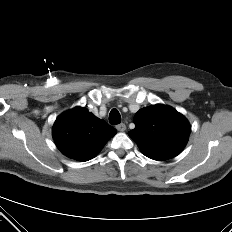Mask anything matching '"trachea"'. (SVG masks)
Returning <instances> with one entry per match:
<instances>
[{"label": "trachea", "instance_id": "1", "mask_svg": "<svg viewBox=\"0 0 232 232\" xmlns=\"http://www.w3.org/2000/svg\"><path fill=\"white\" fill-rule=\"evenodd\" d=\"M109 122L112 125L121 123V116L117 109H112L109 114Z\"/></svg>", "mask_w": 232, "mask_h": 232}]
</instances>
